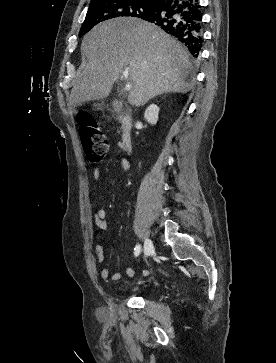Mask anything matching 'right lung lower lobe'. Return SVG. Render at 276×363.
Listing matches in <instances>:
<instances>
[{
	"label": "right lung lower lobe",
	"mask_w": 276,
	"mask_h": 363,
	"mask_svg": "<svg viewBox=\"0 0 276 363\" xmlns=\"http://www.w3.org/2000/svg\"><path fill=\"white\" fill-rule=\"evenodd\" d=\"M198 0H163L148 19L182 42L197 57L202 46V13Z\"/></svg>",
	"instance_id": "98d812e1"
}]
</instances>
